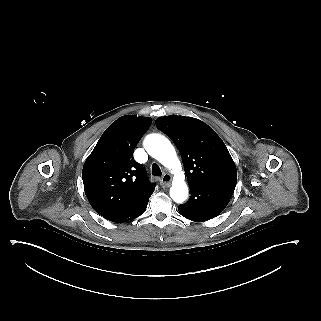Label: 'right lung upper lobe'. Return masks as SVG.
I'll use <instances>...</instances> for the list:
<instances>
[{"mask_svg":"<svg viewBox=\"0 0 321 321\" xmlns=\"http://www.w3.org/2000/svg\"><path fill=\"white\" fill-rule=\"evenodd\" d=\"M152 123L151 118L126 115L102 134L84 163L82 179L93 209L104 218L124 211L151 195L145 168L133 152Z\"/></svg>","mask_w":321,"mask_h":321,"instance_id":"obj_1","label":"right lung upper lobe"}]
</instances>
